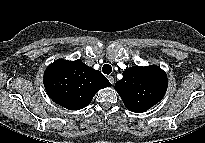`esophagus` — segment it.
Here are the masks:
<instances>
[{"instance_id":"34e87169","label":"esophagus","mask_w":205,"mask_h":143,"mask_svg":"<svg viewBox=\"0 0 205 143\" xmlns=\"http://www.w3.org/2000/svg\"><path fill=\"white\" fill-rule=\"evenodd\" d=\"M108 80L110 81V83L113 85L114 84V77L113 76H108Z\"/></svg>"}]
</instances>
